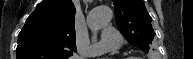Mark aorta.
<instances>
[{
  "label": "aorta",
  "instance_id": "obj_1",
  "mask_svg": "<svg viewBox=\"0 0 193 59\" xmlns=\"http://www.w3.org/2000/svg\"><path fill=\"white\" fill-rule=\"evenodd\" d=\"M113 12L108 6H99L93 8L88 17L87 23L92 31H97L106 26L112 19Z\"/></svg>",
  "mask_w": 193,
  "mask_h": 59
}]
</instances>
